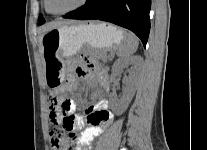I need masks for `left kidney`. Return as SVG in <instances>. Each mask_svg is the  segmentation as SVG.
<instances>
[{
	"mask_svg": "<svg viewBox=\"0 0 207 150\" xmlns=\"http://www.w3.org/2000/svg\"><path fill=\"white\" fill-rule=\"evenodd\" d=\"M139 64L140 58L137 56L118 59L113 64L112 75L115 77L120 74L125 67L132 65L136 68ZM125 82L127 84V90L124 92L121 99L118 102H116L113 98L111 99V108L117 115H121L126 111L135 94L134 77H129L125 80Z\"/></svg>",
	"mask_w": 207,
	"mask_h": 150,
	"instance_id": "1",
	"label": "left kidney"
}]
</instances>
